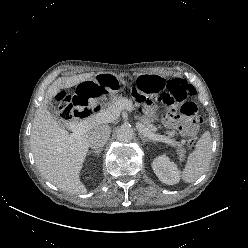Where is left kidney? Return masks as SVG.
Instances as JSON below:
<instances>
[{
    "label": "left kidney",
    "instance_id": "5707ae66",
    "mask_svg": "<svg viewBox=\"0 0 248 248\" xmlns=\"http://www.w3.org/2000/svg\"><path fill=\"white\" fill-rule=\"evenodd\" d=\"M152 169L162 183L174 185L180 181V171L177 165L165 155L154 159Z\"/></svg>",
    "mask_w": 248,
    "mask_h": 248
}]
</instances>
